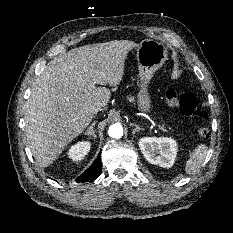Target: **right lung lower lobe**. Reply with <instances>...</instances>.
<instances>
[{"label": "right lung lower lobe", "mask_w": 233, "mask_h": 233, "mask_svg": "<svg viewBox=\"0 0 233 233\" xmlns=\"http://www.w3.org/2000/svg\"><path fill=\"white\" fill-rule=\"evenodd\" d=\"M101 170V153H99L94 163L82 175H80L77 178V182H90L96 179L101 174Z\"/></svg>", "instance_id": "obj_1"}]
</instances>
